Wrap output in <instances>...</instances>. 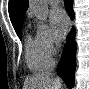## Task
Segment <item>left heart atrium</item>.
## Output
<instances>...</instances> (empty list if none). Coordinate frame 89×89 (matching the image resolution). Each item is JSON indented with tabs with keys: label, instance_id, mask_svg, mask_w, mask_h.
Masks as SVG:
<instances>
[{
	"label": "left heart atrium",
	"instance_id": "39dd6f15",
	"mask_svg": "<svg viewBox=\"0 0 89 89\" xmlns=\"http://www.w3.org/2000/svg\"><path fill=\"white\" fill-rule=\"evenodd\" d=\"M50 20L56 38L61 40L68 28V20L63 9L54 7L50 12Z\"/></svg>",
	"mask_w": 89,
	"mask_h": 89
}]
</instances>
